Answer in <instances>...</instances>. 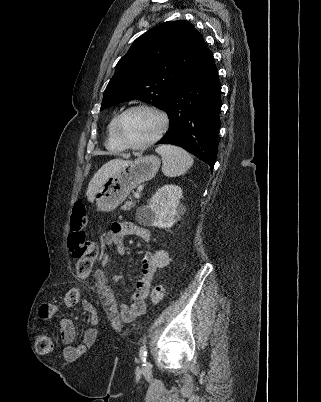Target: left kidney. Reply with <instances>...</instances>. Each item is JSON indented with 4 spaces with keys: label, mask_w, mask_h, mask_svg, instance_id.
Here are the masks:
<instances>
[{
    "label": "left kidney",
    "mask_w": 321,
    "mask_h": 402,
    "mask_svg": "<svg viewBox=\"0 0 321 402\" xmlns=\"http://www.w3.org/2000/svg\"><path fill=\"white\" fill-rule=\"evenodd\" d=\"M182 189L176 185H164L148 201L147 206L137 210V220L147 226L170 228L176 222L177 208Z\"/></svg>",
    "instance_id": "5707ae66"
}]
</instances>
